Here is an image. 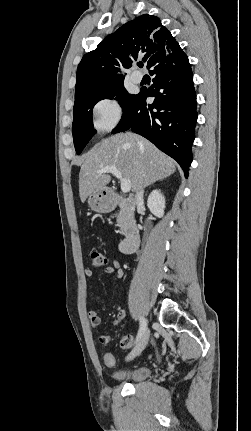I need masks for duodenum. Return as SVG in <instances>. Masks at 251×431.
<instances>
[{"instance_id": "1", "label": "duodenum", "mask_w": 251, "mask_h": 431, "mask_svg": "<svg viewBox=\"0 0 251 431\" xmlns=\"http://www.w3.org/2000/svg\"><path fill=\"white\" fill-rule=\"evenodd\" d=\"M114 204L127 211L124 237L119 243V250L124 254L133 253L138 248L140 242L139 227L135 219V200L130 197H116L114 198Z\"/></svg>"}]
</instances>
